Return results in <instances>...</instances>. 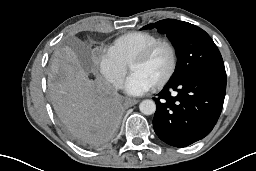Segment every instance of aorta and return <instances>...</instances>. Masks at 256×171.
Segmentation results:
<instances>
[{"label":"aorta","mask_w":256,"mask_h":171,"mask_svg":"<svg viewBox=\"0 0 256 171\" xmlns=\"http://www.w3.org/2000/svg\"><path fill=\"white\" fill-rule=\"evenodd\" d=\"M139 109L144 115H152L156 111V104L153 100L146 99L140 103Z\"/></svg>","instance_id":"aorta-1"}]
</instances>
